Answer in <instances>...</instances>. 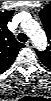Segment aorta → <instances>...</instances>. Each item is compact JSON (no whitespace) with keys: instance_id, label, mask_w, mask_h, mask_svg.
<instances>
[{"instance_id":"762f6f07","label":"aorta","mask_w":51,"mask_h":101,"mask_svg":"<svg viewBox=\"0 0 51 101\" xmlns=\"http://www.w3.org/2000/svg\"><path fill=\"white\" fill-rule=\"evenodd\" d=\"M23 30L33 41L37 49L44 50L47 46V38L41 26L34 20L22 24Z\"/></svg>"}]
</instances>
